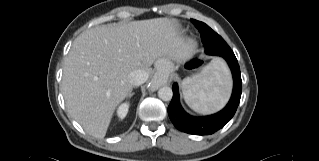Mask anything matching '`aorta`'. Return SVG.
<instances>
[{
    "label": "aorta",
    "instance_id": "1",
    "mask_svg": "<svg viewBox=\"0 0 319 161\" xmlns=\"http://www.w3.org/2000/svg\"><path fill=\"white\" fill-rule=\"evenodd\" d=\"M158 96L163 101H170L173 96L172 89L168 86H163L159 89Z\"/></svg>",
    "mask_w": 319,
    "mask_h": 161
}]
</instances>
